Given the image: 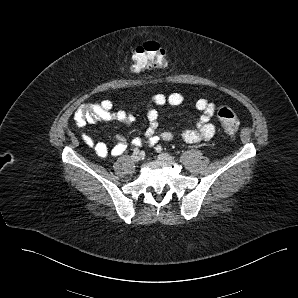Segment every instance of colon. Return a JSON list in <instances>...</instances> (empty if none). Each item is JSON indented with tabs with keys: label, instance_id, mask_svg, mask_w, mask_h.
<instances>
[{
	"label": "colon",
	"instance_id": "colon-1",
	"mask_svg": "<svg viewBox=\"0 0 298 298\" xmlns=\"http://www.w3.org/2000/svg\"><path fill=\"white\" fill-rule=\"evenodd\" d=\"M168 64L165 50L155 41H147L132 50L131 67L134 72H142L152 67L164 68ZM217 116L225 133L233 137L239 129L236 113L225 105H218Z\"/></svg>",
	"mask_w": 298,
	"mask_h": 298
}]
</instances>
